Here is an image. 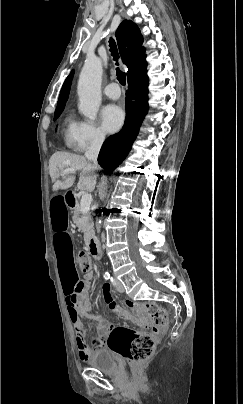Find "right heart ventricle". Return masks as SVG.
Listing matches in <instances>:
<instances>
[{"label": "right heart ventricle", "mask_w": 243, "mask_h": 404, "mask_svg": "<svg viewBox=\"0 0 243 404\" xmlns=\"http://www.w3.org/2000/svg\"><path fill=\"white\" fill-rule=\"evenodd\" d=\"M72 123H73V119L71 116L68 115L64 120V139H65L66 143H67V139H68V135H69V131L72 126Z\"/></svg>", "instance_id": "1"}]
</instances>
